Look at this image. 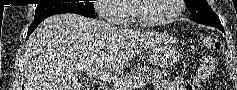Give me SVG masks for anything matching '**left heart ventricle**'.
<instances>
[{"label":"left heart ventricle","mask_w":237,"mask_h":90,"mask_svg":"<svg viewBox=\"0 0 237 90\" xmlns=\"http://www.w3.org/2000/svg\"><path fill=\"white\" fill-rule=\"evenodd\" d=\"M175 0H146L137 1L140 14L149 21L161 20L169 17L175 7Z\"/></svg>","instance_id":"1"}]
</instances>
